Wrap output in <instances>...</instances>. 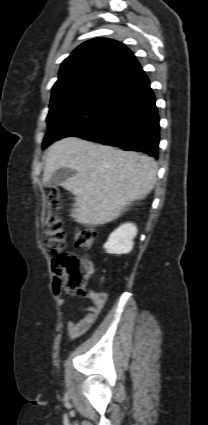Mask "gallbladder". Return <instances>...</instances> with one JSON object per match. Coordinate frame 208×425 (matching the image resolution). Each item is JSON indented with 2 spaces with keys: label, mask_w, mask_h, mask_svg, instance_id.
<instances>
[{
  "label": "gallbladder",
  "mask_w": 208,
  "mask_h": 425,
  "mask_svg": "<svg viewBox=\"0 0 208 425\" xmlns=\"http://www.w3.org/2000/svg\"><path fill=\"white\" fill-rule=\"evenodd\" d=\"M75 171L70 168H60L58 169L53 176L45 183L46 187L54 188L59 185H62L69 178L73 177Z\"/></svg>",
  "instance_id": "bac80fb5"
}]
</instances>
